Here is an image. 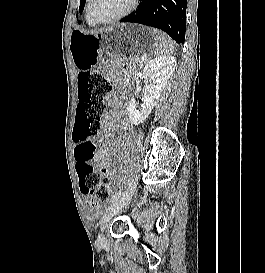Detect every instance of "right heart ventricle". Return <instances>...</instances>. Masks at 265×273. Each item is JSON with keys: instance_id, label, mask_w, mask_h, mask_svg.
<instances>
[{"instance_id": "right-heart-ventricle-1", "label": "right heart ventricle", "mask_w": 265, "mask_h": 273, "mask_svg": "<svg viewBox=\"0 0 265 273\" xmlns=\"http://www.w3.org/2000/svg\"><path fill=\"white\" fill-rule=\"evenodd\" d=\"M86 21H87V23H88L90 26H95V25H96V23H94L93 21H91V20L88 18L87 13H86Z\"/></svg>"}]
</instances>
